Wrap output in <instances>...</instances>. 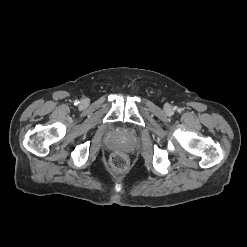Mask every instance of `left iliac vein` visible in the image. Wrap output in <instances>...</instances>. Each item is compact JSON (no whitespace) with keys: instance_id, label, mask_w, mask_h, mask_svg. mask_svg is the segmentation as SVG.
I'll use <instances>...</instances> for the list:
<instances>
[{"instance_id":"1","label":"left iliac vein","mask_w":247,"mask_h":247,"mask_svg":"<svg viewBox=\"0 0 247 247\" xmlns=\"http://www.w3.org/2000/svg\"><path fill=\"white\" fill-rule=\"evenodd\" d=\"M165 110H166L167 112H171V111H172V107H171L169 104H166V105H165Z\"/></svg>"}]
</instances>
